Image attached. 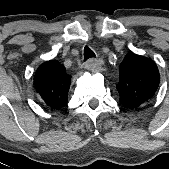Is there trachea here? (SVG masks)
Here are the masks:
<instances>
[{
    "label": "trachea",
    "instance_id": "trachea-1",
    "mask_svg": "<svg viewBox=\"0 0 169 169\" xmlns=\"http://www.w3.org/2000/svg\"><path fill=\"white\" fill-rule=\"evenodd\" d=\"M94 56H95V53L88 46H85L84 60L86 61L88 58L94 57Z\"/></svg>",
    "mask_w": 169,
    "mask_h": 169
}]
</instances>
